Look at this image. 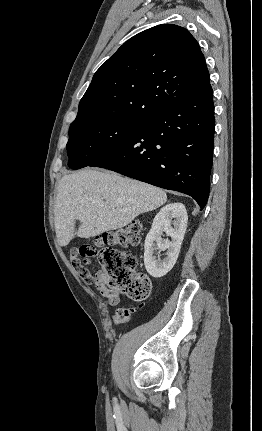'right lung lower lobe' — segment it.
Listing matches in <instances>:
<instances>
[{
    "label": "right lung lower lobe",
    "instance_id": "1",
    "mask_svg": "<svg viewBox=\"0 0 262 431\" xmlns=\"http://www.w3.org/2000/svg\"><path fill=\"white\" fill-rule=\"evenodd\" d=\"M213 90L142 119L121 144L89 166L193 197L201 209L210 190L214 146Z\"/></svg>",
    "mask_w": 262,
    "mask_h": 431
}]
</instances>
